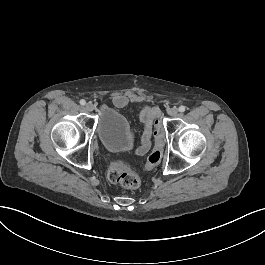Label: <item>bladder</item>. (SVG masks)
<instances>
[{
	"mask_svg": "<svg viewBox=\"0 0 265 265\" xmlns=\"http://www.w3.org/2000/svg\"><path fill=\"white\" fill-rule=\"evenodd\" d=\"M96 131L102 145L111 152L128 150L133 144L129 122L116 109L107 107L101 110Z\"/></svg>",
	"mask_w": 265,
	"mask_h": 265,
	"instance_id": "obj_1",
	"label": "bladder"
}]
</instances>
